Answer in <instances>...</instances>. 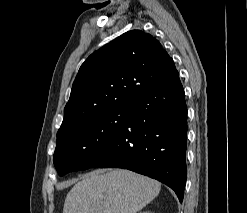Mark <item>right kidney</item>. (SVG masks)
<instances>
[{"label": "right kidney", "instance_id": "1", "mask_svg": "<svg viewBox=\"0 0 247 213\" xmlns=\"http://www.w3.org/2000/svg\"><path fill=\"white\" fill-rule=\"evenodd\" d=\"M140 213H152V212H149V211H143V212H140Z\"/></svg>", "mask_w": 247, "mask_h": 213}]
</instances>
